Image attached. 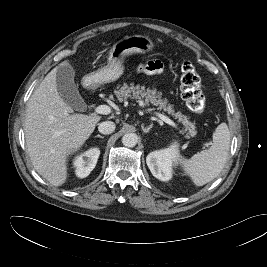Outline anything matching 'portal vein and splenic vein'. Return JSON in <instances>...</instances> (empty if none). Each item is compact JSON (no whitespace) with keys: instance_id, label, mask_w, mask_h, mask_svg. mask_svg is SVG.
Listing matches in <instances>:
<instances>
[{"instance_id":"portal-vein-and-splenic-vein-1","label":"portal vein and splenic vein","mask_w":267,"mask_h":267,"mask_svg":"<svg viewBox=\"0 0 267 267\" xmlns=\"http://www.w3.org/2000/svg\"><path fill=\"white\" fill-rule=\"evenodd\" d=\"M111 112V108L107 105H99L95 108V113L97 114H103V115H107ZM155 115L161 119L163 122L167 123L168 125L174 127L175 129H178V125L172 121L169 117L161 114V113H158V112H155ZM206 147H209V143H205L204 144Z\"/></svg>"}]
</instances>
